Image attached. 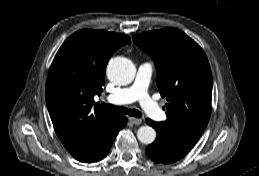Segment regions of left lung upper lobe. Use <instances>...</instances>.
<instances>
[{
	"mask_svg": "<svg viewBox=\"0 0 259 176\" xmlns=\"http://www.w3.org/2000/svg\"><path fill=\"white\" fill-rule=\"evenodd\" d=\"M133 41L154 60L157 86L168 100L167 120L160 124L198 140L211 114L212 74L206 54L172 27L141 33Z\"/></svg>",
	"mask_w": 259,
	"mask_h": 176,
	"instance_id": "1",
	"label": "left lung upper lobe"
}]
</instances>
